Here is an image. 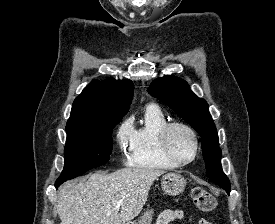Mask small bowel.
Returning a JSON list of instances; mask_svg holds the SVG:
<instances>
[{
    "instance_id": "c3829d8e",
    "label": "small bowel",
    "mask_w": 275,
    "mask_h": 224,
    "mask_svg": "<svg viewBox=\"0 0 275 224\" xmlns=\"http://www.w3.org/2000/svg\"><path fill=\"white\" fill-rule=\"evenodd\" d=\"M185 215L180 210L166 209L162 211L157 220L156 224H171L175 220L184 219ZM190 221H193L192 218H189ZM195 224H211L207 219L201 218Z\"/></svg>"
}]
</instances>
